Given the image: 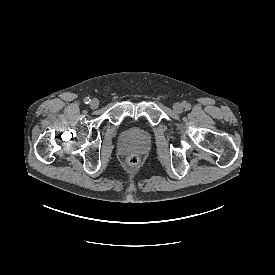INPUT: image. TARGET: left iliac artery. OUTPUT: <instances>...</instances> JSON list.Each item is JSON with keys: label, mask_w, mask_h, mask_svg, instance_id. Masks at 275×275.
I'll use <instances>...</instances> for the list:
<instances>
[{"label": "left iliac artery", "mask_w": 275, "mask_h": 275, "mask_svg": "<svg viewBox=\"0 0 275 275\" xmlns=\"http://www.w3.org/2000/svg\"><path fill=\"white\" fill-rule=\"evenodd\" d=\"M182 104L184 107L189 108V104L186 101H184Z\"/></svg>", "instance_id": "left-iliac-artery-1"}]
</instances>
